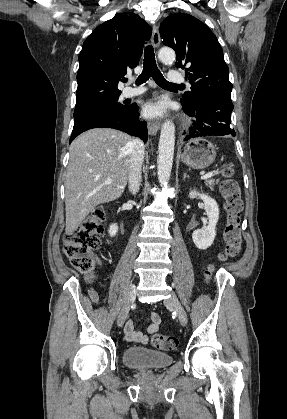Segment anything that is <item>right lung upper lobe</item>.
Returning a JSON list of instances; mask_svg holds the SVG:
<instances>
[{
    "label": "right lung upper lobe",
    "mask_w": 287,
    "mask_h": 419,
    "mask_svg": "<svg viewBox=\"0 0 287 419\" xmlns=\"http://www.w3.org/2000/svg\"><path fill=\"white\" fill-rule=\"evenodd\" d=\"M152 28L138 15L117 14L98 26L79 55L76 106L120 95L118 83L135 68Z\"/></svg>",
    "instance_id": "cb5924a9"
}]
</instances>
